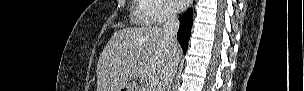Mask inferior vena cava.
Segmentation results:
<instances>
[{"label":"inferior vena cava","mask_w":304,"mask_h":91,"mask_svg":"<svg viewBox=\"0 0 304 91\" xmlns=\"http://www.w3.org/2000/svg\"><path fill=\"white\" fill-rule=\"evenodd\" d=\"M179 29V20L177 18L176 11L172 8L167 10V21L163 25L162 31L168 36L172 44V50L175 51L178 47L176 38L177 31ZM179 60L176 57L167 66L160 76V81L157 87V91H170L172 81L174 79Z\"/></svg>","instance_id":"obj_1"}]
</instances>
